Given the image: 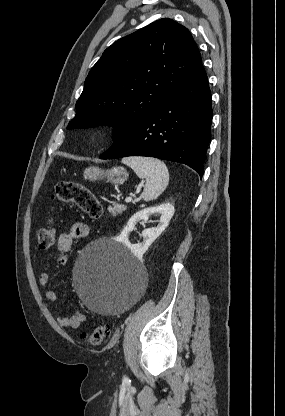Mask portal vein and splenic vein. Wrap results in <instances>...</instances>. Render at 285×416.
<instances>
[{"label":"portal vein and splenic vein","instance_id":"18ae733b","mask_svg":"<svg viewBox=\"0 0 285 416\" xmlns=\"http://www.w3.org/2000/svg\"><path fill=\"white\" fill-rule=\"evenodd\" d=\"M130 196H133V198H136L135 194H130ZM132 198H126L125 202H131Z\"/></svg>","mask_w":285,"mask_h":416}]
</instances>
